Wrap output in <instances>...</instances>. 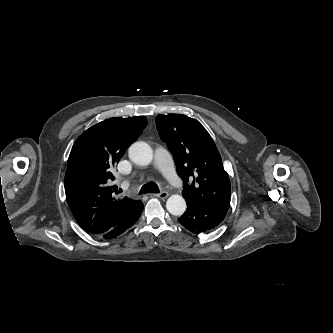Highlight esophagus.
<instances>
[{"label":"esophagus","instance_id":"1","mask_svg":"<svg viewBox=\"0 0 333 333\" xmlns=\"http://www.w3.org/2000/svg\"><path fill=\"white\" fill-rule=\"evenodd\" d=\"M168 195L169 194L166 191H162V192H160L158 194H153V196L158 197L160 199H166L168 197Z\"/></svg>","mask_w":333,"mask_h":333}]
</instances>
